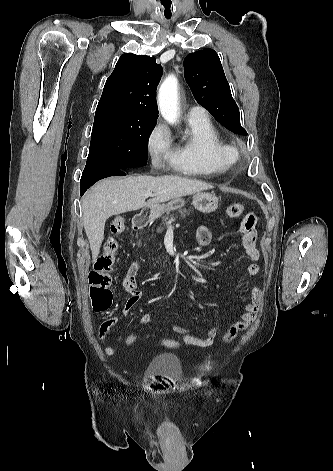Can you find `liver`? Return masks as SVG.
Instances as JSON below:
<instances>
[{"instance_id":"obj_1","label":"liver","mask_w":333,"mask_h":471,"mask_svg":"<svg viewBox=\"0 0 333 471\" xmlns=\"http://www.w3.org/2000/svg\"><path fill=\"white\" fill-rule=\"evenodd\" d=\"M212 188L205 182L173 175L132 176L100 181L82 198L83 225L93 261L98 257L104 239L105 222L109 217ZM148 192L154 193V197L146 202Z\"/></svg>"}]
</instances>
